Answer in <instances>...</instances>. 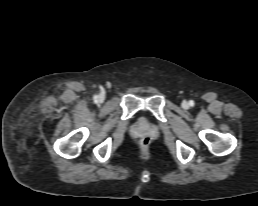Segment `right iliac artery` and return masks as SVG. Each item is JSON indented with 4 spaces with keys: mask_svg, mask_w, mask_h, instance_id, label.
Here are the masks:
<instances>
[{
    "mask_svg": "<svg viewBox=\"0 0 258 206\" xmlns=\"http://www.w3.org/2000/svg\"><path fill=\"white\" fill-rule=\"evenodd\" d=\"M97 98H98L97 96H94V100H97Z\"/></svg>",
    "mask_w": 258,
    "mask_h": 206,
    "instance_id": "1",
    "label": "right iliac artery"
}]
</instances>
